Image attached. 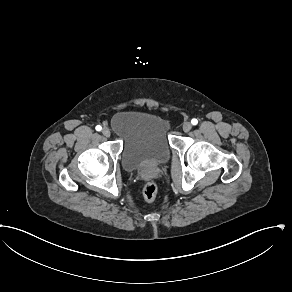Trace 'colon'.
Returning a JSON list of instances; mask_svg holds the SVG:
<instances>
[{"instance_id": "obj_1", "label": "colon", "mask_w": 292, "mask_h": 292, "mask_svg": "<svg viewBox=\"0 0 292 292\" xmlns=\"http://www.w3.org/2000/svg\"><path fill=\"white\" fill-rule=\"evenodd\" d=\"M157 185L152 180H148L144 183L143 186V199L146 203H152L157 196Z\"/></svg>"}]
</instances>
